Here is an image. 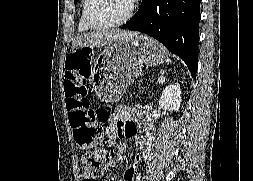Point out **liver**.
Here are the masks:
<instances>
[{"label":"liver","instance_id":"liver-1","mask_svg":"<svg viewBox=\"0 0 253 181\" xmlns=\"http://www.w3.org/2000/svg\"><path fill=\"white\" fill-rule=\"evenodd\" d=\"M139 35L138 32L127 30H97L89 33L81 34L76 37L72 42V49H78L80 47H102L110 45L118 40H128Z\"/></svg>","mask_w":253,"mask_h":181}]
</instances>
